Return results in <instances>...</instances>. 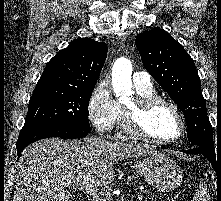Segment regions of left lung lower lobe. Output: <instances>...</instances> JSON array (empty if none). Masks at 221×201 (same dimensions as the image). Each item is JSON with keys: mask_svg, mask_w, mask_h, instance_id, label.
I'll use <instances>...</instances> for the list:
<instances>
[{"mask_svg": "<svg viewBox=\"0 0 221 201\" xmlns=\"http://www.w3.org/2000/svg\"><path fill=\"white\" fill-rule=\"evenodd\" d=\"M182 152L187 153V154H195V153L202 154L203 156H205L209 160V162L212 164V166L215 170H216V167L218 165H220V162L218 160V156L216 158L215 151L208 150L202 146H194V148H192L190 150H183Z\"/></svg>", "mask_w": 221, "mask_h": 201, "instance_id": "0a47b994", "label": "left lung lower lobe"}]
</instances>
